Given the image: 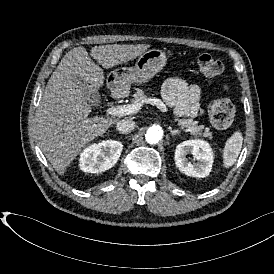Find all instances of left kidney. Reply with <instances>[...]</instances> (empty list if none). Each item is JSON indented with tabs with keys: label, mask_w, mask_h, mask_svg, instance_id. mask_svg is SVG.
Segmentation results:
<instances>
[{
	"label": "left kidney",
	"mask_w": 274,
	"mask_h": 274,
	"mask_svg": "<svg viewBox=\"0 0 274 274\" xmlns=\"http://www.w3.org/2000/svg\"><path fill=\"white\" fill-rule=\"evenodd\" d=\"M189 153L197 162L191 163L186 158ZM213 159L210 144L200 139L187 140L178 144L174 155L175 164L182 173L198 178H204L210 174Z\"/></svg>",
	"instance_id": "1"
}]
</instances>
